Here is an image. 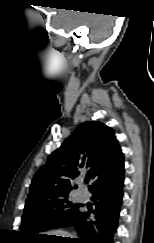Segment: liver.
Masks as SVG:
<instances>
[{
	"instance_id": "obj_1",
	"label": "liver",
	"mask_w": 154,
	"mask_h": 243,
	"mask_svg": "<svg viewBox=\"0 0 154 243\" xmlns=\"http://www.w3.org/2000/svg\"><path fill=\"white\" fill-rule=\"evenodd\" d=\"M47 235H54V236H61V237H70L71 236L70 233L63 231V230H51V231L47 232ZM70 238H73V237H70ZM66 239H69V238H66Z\"/></svg>"
}]
</instances>
